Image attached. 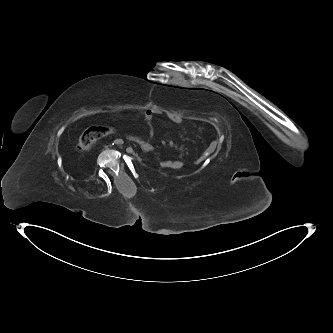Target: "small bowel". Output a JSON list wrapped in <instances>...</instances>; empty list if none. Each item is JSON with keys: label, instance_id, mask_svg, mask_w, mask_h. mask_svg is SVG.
Here are the masks:
<instances>
[{"label": "small bowel", "instance_id": "c3829d8e", "mask_svg": "<svg viewBox=\"0 0 333 333\" xmlns=\"http://www.w3.org/2000/svg\"><path fill=\"white\" fill-rule=\"evenodd\" d=\"M156 114L152 111V110H147L145 111L144 115H143V119H144V122L148 125V127L150 128V135L152 134V130H151V122H152V119L153 117L155 116ZM169 120L172 122V123H175V124H180L182 122V118L178 115H172L169 117ZM215 143V142H214ZM214 143L210 146V148L203 154L201 155L198 159H197V162L198 163H201L203 162L208 156L209 154L211 153L212 151V148L214 147ZM173 163H174V166L171 168V169H174V170H178V169H181L184 165L183 161L181 160H171ZM168 169V168H167Z\"/></svg>", "mask_w": 333, "mask_h": 333}]
</instances>
